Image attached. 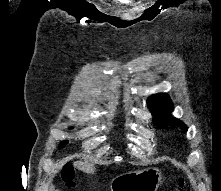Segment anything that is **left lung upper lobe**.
Masks as SVG:
<instances>
[{"label":"left lung upper lobe","instance_id":"5c2ea615","mask_svg":"<svg viewBox=\"0 0 221 191\" xmlns=\"http://www.w3.org/2000/svg\"><path fill=\"white\" fill-rule=\"evenodd\" d=\"M148 107L153 114L154 123L159 127L178 124L183 130L187 131V126L179 119L173 118V103L166 93L152 95L147 101Z\"/></svg>","mask_w":221,"mask_h":191}]
</instances>
